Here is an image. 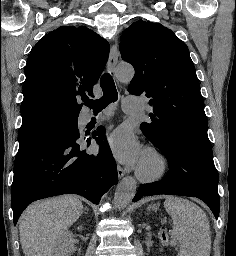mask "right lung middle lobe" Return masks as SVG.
Returning a JSON list of instances; mask_svg holds the SVG:
<instances>
[{"label":"right lung middle lobe","instance_id":"right-lung-middle-lobe-1","mask_svg":"<svg viewBox=\"0 0 236 256\" xmlns=\"http://www.w3.org/2000/svg\"><path fill=\"white\" fill-rule=\"evenodd\" d=\"M78 135V118L64 117L56 112H42L22 120L19 150L57 135Z\"/></svg>","mask_w":236,"mask_h":256}]
</instances>
